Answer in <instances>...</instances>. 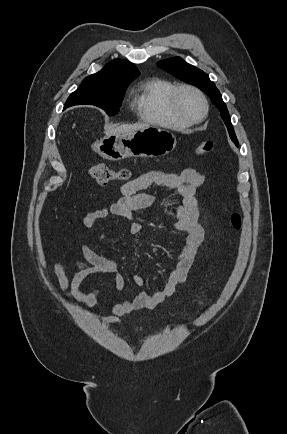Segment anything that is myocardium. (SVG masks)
<instances>
[{
    "instance_id": "myocardium-1",
    "label": "myocardium",
    "mask_w": 287,
    "mask_h": 434,
    "mask_svg": "<svg viewBox=\"0 0 287 434\" xmlns=\"http://www.w3.org/2000/svg\"><path fill=\"white\" fill-rule=\"evenodd\" d=\"M184 91H190V92L196 94L197 97L200 99V101L202 103L203 111L199 117L194 118V119H189V118L185 117L181 113V111L179 110L178 100H179L181 93ZM168 103H169V108H170L172 115L177 120L184 123L185 125H194V124H197V123L203 121L206 118L207 113H208V101H207L205 94L199 88H197L196 86H193V85L183 84V85L175 87L169 96Z\"/></svg>"
}]
</instances>
